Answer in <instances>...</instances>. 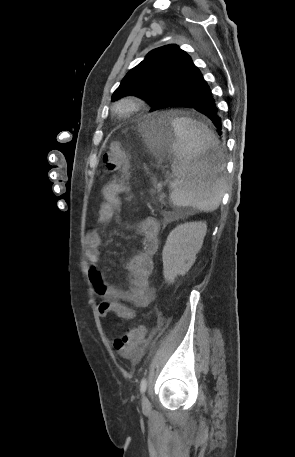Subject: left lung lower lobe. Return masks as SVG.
<instances>
[{
  "mask_svg": "<svg viewBox=\"0 0 295 457\" xmlns=\"http://www.w3.org/2000/svg\"><path fill=\"white\" fill-rule=\"evenodd\" d=\"M187 77L190 85L163 101L158 109L171 106L195 109L208 117L217 128L218 134L221 135V118L218 115V109L212 97L210 87L204 80L203 75L195 66ZM214 157L209 160V163H214Z\"/></svg>",
  "mask_w": 295,
  "mask_h": 457,
  "instance_id": "obj_1",
  "label": "left lung lower lobe"
}]
</instances>
